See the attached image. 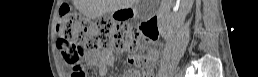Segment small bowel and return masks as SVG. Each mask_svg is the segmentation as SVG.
<instances>
[{"mask_svg":"<svg viewBox=\"0 0 258 77\" xmlns=\"http://www.w3.org/2000/svg\"><path fill=\"white\" fill-rule=\"evenodd\" d=\"M87 62L90 64H95L98 66L101 73H105L107 69L115 64V55L111 52H107L105 54L100 53H88ZM158 58V51L155 48H151L146 56V61L148 65H146L142 72L137 71L136 74L131 75L127 73V77H149L152 75V69L149 64L154 63Z\"/></svg>","mask_w":258,"mask_h":77,"instance_id":"small-bowel-1","label":"small bowel"}]
</instances>
